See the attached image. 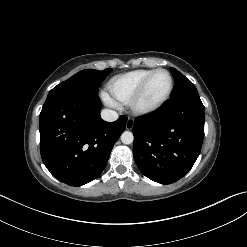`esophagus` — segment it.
Listing matches in <instances>:
<instances>
[{
	"label": "esophagus",
	"instance_id": "34e87169",
	"mask_svg": "<svg viewBox=\"0 0 247 247\" xmlns=\"http://www.w3.org/2000/svg\"><path fill=\"white\" fill-rule=\"evenodd\" d=\"M134 126V120L132 118H128L127 122H126V129L127 130H131Z\"/></svg>",
	"mask_w": 247,
	"mask_h": 247
}]
</instances>
